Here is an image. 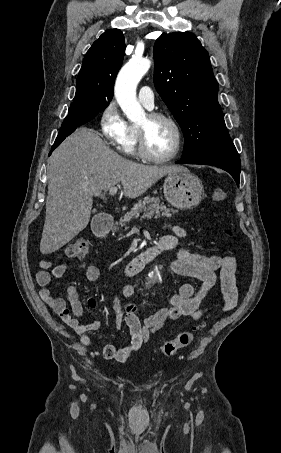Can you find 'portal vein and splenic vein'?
I'll return each mask as SVG.
<instances>
[{
	"instance_id": "18ae733b",
	"label": "portal vein and splenic vein",
	"mask_w": 281,
	"mask_h": 453,
	"mask_svg": "<svg viewBox=\"0 0 281 453\" xmlns=\"http://www.w3.org/2000/svg\"><path fill=\"white\" fill-rule=\"evenodd\" d=\"M118 188H119V186H111V188L109 190V194H116Z\"/></svg>"
}]
</instances>
